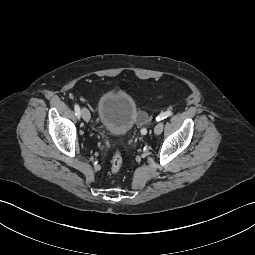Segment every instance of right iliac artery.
<instances>
[{
  "label": "right iliac artery",
  "mask_w": 255,
  "mask_h": 255,
  "mask_svg": "<svg viewBox=\"0 0 255 255\" xmlns=\"http://www.w3.org/2000/svg\"><path fill=\"white\" fill-rule=\"evenodd\" d=\"M74 110H75L76 116H77L78 119H79V118H80L81 111H80V107H79L78 104H75V105H74Z\"/></svg>",
  "instance_id": "obj_1"
}]
</instances>
